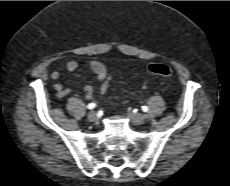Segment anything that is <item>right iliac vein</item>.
<instances>
[{
    "instance_id": "63e3f726",
    "label": "right iliac vein",
    "mask_w": 230,
    "mask_h": 186,
    "mask_svg": "<svg viewBox=\"0 0 230 186\" xmlns=\"http://www.w3.org/2000/svg\"><path fill=\"white\" fill-rule=\"evenodd\" d=\"M88 119L91 122H95L97 120V114H96V112L95 111H90L88 113Z\"/></svg>"
}]
</instances>
